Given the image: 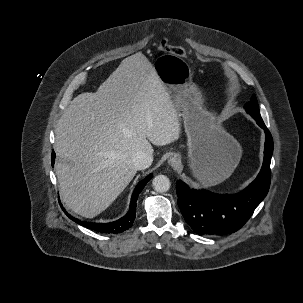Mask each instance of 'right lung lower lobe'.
<instances>
[{"instance_id": "1", "label": "right lung lower lobe", "mask_w": 303, "mask_h": 303, "mask_svg": "<svg viewBox=\"0 0 303 303\" xmlns=\"http://www.w3.org/2000/svg\"><path fill=\"white\" fill-rule=\"evenodd\" d=\"M55 161V153L52 151V166L54 165ZM152 174L148 175L145 179H143L138 185L136 186L132 198H131V203L129 207V211L127 214L120 218L117 221L110 222V223H92V222H85V221H80L77 218H74L73 216H70L65 209L62 207V210L65 212V214L71 218L74 222L78 223L79 225H82L86 228H89L91 230H94L96 232L100 233H121L125 230H128L136 217V202H137V197L146 185V183L152 178Z\"/></svg>"}]
</instances>
